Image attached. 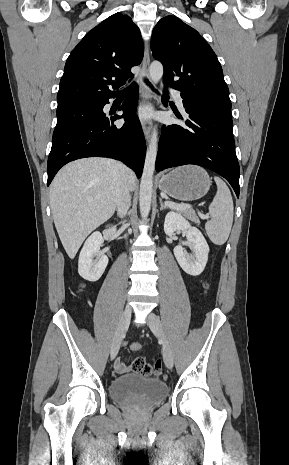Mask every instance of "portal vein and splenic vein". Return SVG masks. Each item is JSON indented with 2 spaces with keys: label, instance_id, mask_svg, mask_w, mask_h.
<instances>
[{
  "label": "portal vein and splenic vein",
  "instance_id": "obj_1",
  "mask_svg": "<svg viewBox=\"0 0 289 465\" xmlns=\"http://www.w3.org/2000/svg\"><path fill=\"white\" fill-rule=\"evenodd\" d=\"M165 204L176 209L191 208L189 204H176L171 201H165Z\"/></svg>",
  "mask_w": 289,
  "mask_h": 465
}]
</instances>
